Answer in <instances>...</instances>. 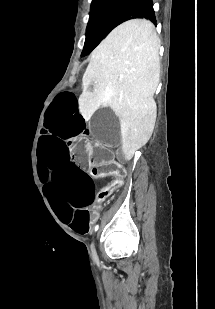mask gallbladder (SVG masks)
<instances>
[{
	"mask_svg": "<svg viewBox=\"0 0 215 309\" xmlns=\"http://www.w3.org/2000/svg\"><path fill=\"white\" fill-rule=\"evenodd\" d=\"M92 86L89 84L88 90ZM103 108L109 107L108 105L102 106ZM91 132L104 144V148H119L121 143L120 126L116 115L110 109H97L96 113L92 114L91 119Z\"/></svg>",
	"mask_w": 215,
	"mask_h": 309,
	"instance_id": "1",
	"label": "gallbladder"
}]
</instances>
